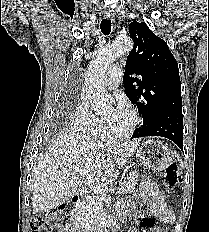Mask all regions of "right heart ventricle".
Segmentation results:
<instances>
[{"label":"right heart ventricle","instance_id":"1","mask_svg":"<svg viewBox=\"0 0 209 232\" xmlns=\"http://www.w3.org/2000/svg\"><path fill=\"white\" fill-rule=\"evenodd\" d=\"M86 133L94 137L105 136L102 128V120L100 118H96L95 122L89 127Z\"/></svg>","mask_w":209,"mask_h":232}]
</instances>
